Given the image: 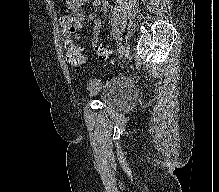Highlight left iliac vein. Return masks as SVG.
I'll return each instance as SVG.
<instances>
[{
	"label": "left iliac vein",
	"instance_id": "left-iliac-vein-1",
	"mask_svg": "<svg viewBox=\"0 0 219 192\" xmlns=\"http://www.w3.org/2000/svg\"><path fill=\"white\" fill-rule=\"evenodd\" d=\"M130 53V46L128 43H125L122 48H121V51L119 53V58L121 60H124L126 57H128ZM89 91L91 92V94H95V93H98L100 91V84L96 81H91L89 83Z\"/></svg>",
	"mask_w": 219,
	"mask_h": 192
}]
</instances>
